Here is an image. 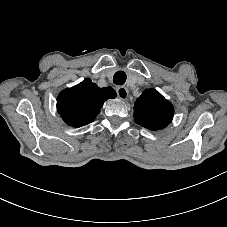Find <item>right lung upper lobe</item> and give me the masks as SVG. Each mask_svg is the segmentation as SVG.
I'll use <instances>...</instances> for the list:
<instances>
[{"mask_svg": "<svg viewBox=\"0 0 227 227\" xmlns=\"http://www.w3.org/2000/svg\"><path fill=\"white\" fill-rule=\"evenodd\" d=\"M116 96L112 87L99 88L90 79H85L59 94L57 109L68 125L80 127L91 123L99 114L103 103Z\"/></svg>", "mask_w": 227, "mask_h": 227, "instance_id": "1", "label": "right lung upper lobe"}]
</instances>
